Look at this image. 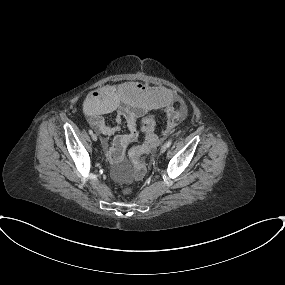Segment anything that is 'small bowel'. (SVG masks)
Masks as SVG:
<instances>
[{"label":"small bowel","mask_w":285,"mask_h":285,"mask_svg":"<svg viewBox=\"0 0 285 285\" xmlns=\"http://www.w3.org/2000/svg\"><path fill=\"white\" fill-rule=\"evenodd\" d=\"M156 109L165 110L167 121L173 113L178 116V121L184 119L187 114V105L179 96L161 87L132 81L105 85L87 96L84 110L89 124L100 134L102 147L113 167H117L124 159L126 147L137 141L138 119ZM109 114L115 116L112 125L104 118ZM123 122L127 132L111 138Z\"/></svg>","instance_id":"small-bowel-1"}]
</instances>
